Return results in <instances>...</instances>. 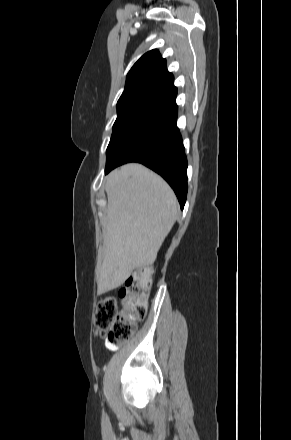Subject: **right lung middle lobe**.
I'll return each mask as SVG.
<instances>
[{"instance_id":"right-lung-middle-lobe-1","label":"right lung middle lobe","mask_w":291,"mask_h":440,"mask_svg":"<svg viewBox=\"0 0 291 440\" xmlns=\"http://www.w3.org/2000/svg\"><path fill=\"white\" fill-rule=\"evenodd\" d=\"M153 101L138 99L117 104V119L113 125V133L106 150L105 170L109 167L113 156L138 125Z\"/></svg>"}]
</instances>
